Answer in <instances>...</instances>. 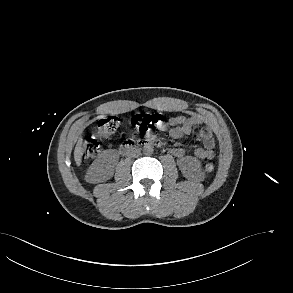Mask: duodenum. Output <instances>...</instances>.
Listing matches in <instances>:
<instances>
[{
    "mask_svg": "<svg viewBox=\"0 0 293 293\" xmlns=\"http://www.w3.org/2000/svg\"><path fill=\"white\" fill-rule=\"evenodd\" d=\"M158 145H159V142L156 138L152 136H147L144 139L139 141H131V140L124 141L120 145L119 151L123 156H129L137 149H141L148 146H158Z\"/></svg>",
    "mask_w": 293,
    "mask_h": 293,
    "instance_id": "duodenum-1",
    "label": "duodenum"
}]
</instances>
